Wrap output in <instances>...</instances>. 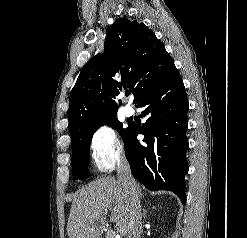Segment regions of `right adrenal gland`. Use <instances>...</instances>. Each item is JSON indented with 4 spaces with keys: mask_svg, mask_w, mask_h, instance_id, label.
Instances as JSON below:
<instances>
[{
    "mask_svg": "<svg viewBox=\"0 0 247 238\" xmlns=\"http://www.w3.org/2000/svg\"><path fill=\"white\" fill-rule=\"evenodd\" d=\"M143 217L146 218L147 217V212L145 209H143Z\"/></svg>",
    "mask_w": 247,
    "mask_h": 238,
    "instance_id": "right-adrenal-gland-1",
    "label": "right adrenal gland"
}]
</instances>
